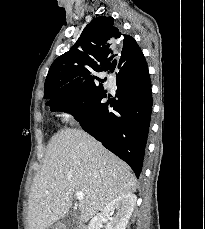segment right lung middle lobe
Wrapping results in <instances>:
<instances>
[{
    "mask_svg": "<svg viewBox=\"0 0 205 229\" xmlns=\"http://www.w3.org/2000/svg\"><path fill=\"white\" fill-rule=\"evenodd\" d=\"M104 81H106V78L103 80V79H100V78H97V79H95L92 83H90V84H82V85H80L78 88H77V90L74 92V93H72V94H70V95H68V96H64V97H61L62 98V101H69L71 98H73V97H75V96H78V95H80V94H82V93H84V92H87L88 90H90V89H92V88H95V87H97V85H98V82H100V84L98 85V86H102V83L104 82Z\"/></svg>",
    "mask_w": 205,
    "mask_h": 229,
    "instance_id": "right-lung-middle-lobe-1",
    "label": "right lung middle lobe"
}]
</instances>
